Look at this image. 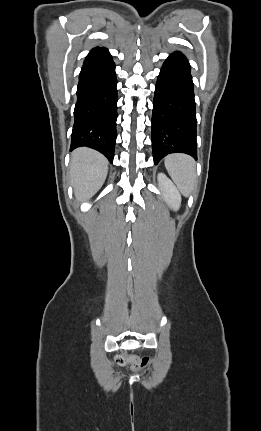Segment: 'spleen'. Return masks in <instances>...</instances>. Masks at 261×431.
<instances>
[{"instance_id":"spleen-1","label":"spleen","mask_w":261,"mask_h":431,"mask_svg":"<svg viewBox=\"0 0 261 431\" xmlns=\"http://www.w3.org/2000/svg\"><path fill=\"white\" fill-rule=\"evenodd\" d=\"M165 167L178 190L188 196L195 186V161L185 154H171L165 158Z\"/></svg>"}]
</instances>
